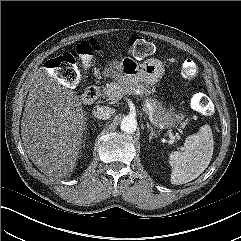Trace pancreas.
<instances>
[{"label":"pancreas","mask_w":241,"mask_h":241,"mask_svg":"<svg viewBox=\"0 0 241 241\" xmlns=\"http://www.w3.org/2000/svg\"><path fill=\"white\" fill-rule=\"evenodd\" d=\"M130 90V87L120 84L119 82H111L102 89V96L109 101L116 102L122 98V96ZM141 92L148 95L149 91L145 87H141ZM145 104H149L152 109L154 121L162 123L168 127L175 126L176 123H180L183 120L184 115L182 113L176 114L172 111H166L163 108L162 103L155 98H147Z\"/></svg>","instance_id":"pancreas-1"}]
</instances>
